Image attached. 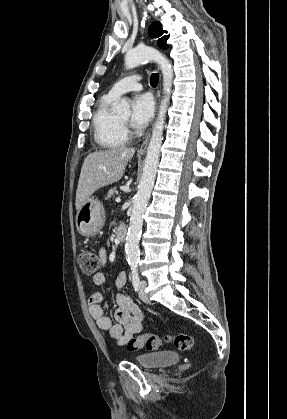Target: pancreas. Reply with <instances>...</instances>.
Returning a JSON list of instances; mask_svg holds the SVG:
<instances>
[{
	"mask_svg": "<svg viewBox=\"0 0 287 419\" xmlns=\"http://www.w3.org/2000/svg\"><path fill=\"white\" fill-rule=\"evenodd\" d=\"M117 190L115 188L109 190L108 194H107V199H110L112 196H114L115 194H117Z\"/></svg>",
	"mask_w": 287,
	"mask_h": 419,
	"instance_id": "obj_1",
	"label": "pancreas"
}]
</instances>
